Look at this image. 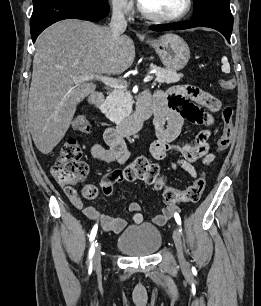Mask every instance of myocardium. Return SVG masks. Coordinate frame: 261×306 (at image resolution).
<instances>
[{"label": "myocardium", "mask_w": 261, "mask_h": 306, "mask_svg": "<svg viewBox=\"0 0 261 306\" xmlns=\"http://www.w3.org/2000/svg\"><path fill=\"white\" fill-rule=\"evenodd\" d=\"M192 5H193V0H186L185 7L180 13L176 15L166 16V15H161V14L148 10L142 4L141 0H138V9L144 17L151 19V20L162 21V22H172V21L183 19L190 12Z\"/></svg>", "instance_id": "myocardium-1"}]
</instances>
